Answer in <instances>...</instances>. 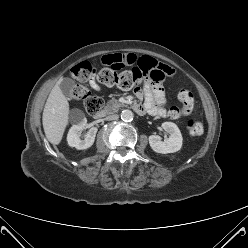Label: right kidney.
Instances as JSON below:
<instances>
[{
	"label": "right kidney",
	"mask_w": 248,
	"mask_h": 248,
	"mask_svg": "<svg viewBox=\"0 0 248 248\" xmlns=\"http://www.w3.org/2000/svg\"><path fill=\"white\" fill-rule=\"evenodd\" d=\"M72 121L74 124L70 128L67 136L68 145L78 150L91 147L95 141L98 129L96 127L90 128L85 136V139L81 140L78 133L84 129L87 119L82 112L75 110L72 114Z\"/></svg>",
	"instance_id": "1"
}]
</instances>
